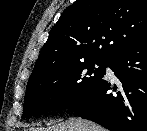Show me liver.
<instances>
[{
    "label": "liver",
    "mask_w": 147,
    "mask_h": 131,
    "mask_svg": "<svg viewBox=\"0 0 147 131\" xmlns=\"http://www.w3.org/2000/svg\"><path fill=\"white\" fill-rule=\"evenodd\" d=\"M29 131H105V129L94 122L82 118H70L65 122L48 128L32 127Z\"/></svg>",
    "instance_id": "6515ba94"
}]
</instances>
